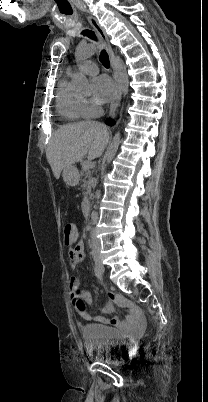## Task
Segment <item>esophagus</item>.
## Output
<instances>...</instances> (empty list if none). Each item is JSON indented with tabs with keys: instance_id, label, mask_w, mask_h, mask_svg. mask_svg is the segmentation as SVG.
Returning <instances> with one entry per match:
<instances>
[{
	"instance_id": "1",
	"label": "esophagus",
	"mask_w": 208,
	"mask_h": 402,
	"mask_svg": "<svg viewBox=\"0 0 208 402\" xmlns=\"http://www.w3.org/2000/svg\"><path fill=\"white\" fill-rule=\"evenodd\" d=\"M87 20L89 21V23L91 24V26L96 30V32H97L98 35L100 36V39H101L102 42H103V45H104V47H105V49H106V52H107V54H108V57H109V61H110L111 67H112L113 72H114V78H115L116 83H117V88H118V90H117V95H116V97H115V100H113V102L110 104V115H111V117H113V116H115L117 107H118L119 104H120L121 95H122V93H121V88H120V86H119V84H118V78H117V71H116V64H115L114 53H113V50H112V48H111L110 42H109V40H108V37H107V35H106V33H105L104 28L100 25V23H98V21L96 20V18L89 16V17H87Z\"/></svg>"
}]
</instances>
